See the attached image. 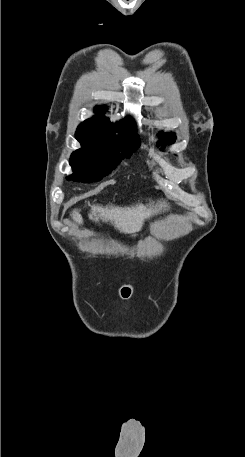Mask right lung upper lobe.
<instances>
[{"label":"right lung upper lobe","instance_id":"1","mask_svg":"<svg viewBox=\"0 0 245 457\" xmlns=\"http://www.w3.org/2000/svg\"><path fill=\"white\" fill-rule=\"evenodd\" d=\"M104 111L105 107H97L95 109V112L97 113L96 116H94L92 119H87L84 122H82L80 125H85V126H99V127H108V128H134L135 129V123L133 122L132 118H126L124 122L126 123L125 125H118V124H112L108 118L104 117Z\"/></svg>","mask_w":245,"mask_h":457}]
</instances>
